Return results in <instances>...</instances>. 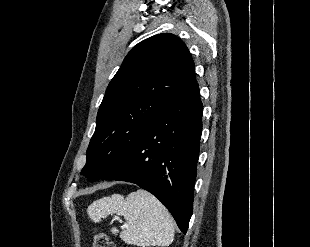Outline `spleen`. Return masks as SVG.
I'll return each instance as SVG.
<instances>
[{
  "label": "spleen",
  "mask_w": 310,
  "mask_h": 247,
  "mask_svg": "<svg viewBox=\"0 0 310 247\" xmlns=\"http://www.w3.org/2000/svg\"><path fill=\"white\" fill-rule=\"evenodd\" d=\"M89 218L98 223L107 215L123 216L127 226L120 238L136 246H169L174 239L173 218L151 193L139 189L126 197L113 194L94 201L87 209ZM111 232L117 234V228Z\"/></svg>",
  "instance_id": "obj_1"
}]
</instances>
